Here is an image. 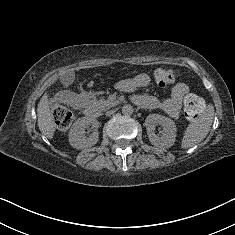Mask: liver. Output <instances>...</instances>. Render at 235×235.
Returning <instances> with one entry per match:
<instances>
[{
  "label": "liver",
  "mask_w": 235,
  "mask_h": 235,
  "mask_svg": "<svg viewBox=\"0 0 235 235\" xmlns=\"http://www.w3.org/2000/svg\"><path fill=\"white\" fill-rule=\"evenodd\" d=\"M48 97V94L45 93L40 99L37 106V116L39 130L48 138H51L54 133V128L52 126V117L50 113V103Z\"/></svg>",
  "instance_id": "obj_1"
}]
</instances>
